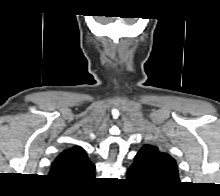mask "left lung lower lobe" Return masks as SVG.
I'll list each match as a JSON object with an SVG mask.
<instances>
[{"label": "left lung lower lobe", "mask_w": 220, "mask_h": 196, "mask_svg": "<svg viewBox=\"0 0 220 196\" xmlns=\"http://www.w3.org/2000/svg\"><path fill=\"white\" fill-rule=\"evenodd\" d=\"M127 174H128V179L130 180H136L151 186H155L154 183L149 178L148 174L143 169V167L139 164L137 156H135L134 163L128 169Z\"/></svg>", "instance_id": "left-lung-lower-lobe-1"}]
</instances>
